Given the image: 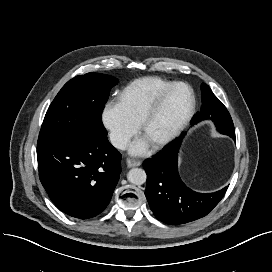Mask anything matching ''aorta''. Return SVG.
<instances>
[{
	"instance_id": "762f6f07",
	"label": "aorta",
	"mask_w": 272,
	"mask_h": 272,
	"mask_svg": "<svg viewBox=\"0 0 272 272\" xmlns=\"http://www.w3.org/2000/svg\"><path fill=\"white\" fill-rule=\"evenodd\" d=\"M146 172L141 168H133L127 174V179L134 185H142L146 182Z\"/></svg>"
}]
</instances>
